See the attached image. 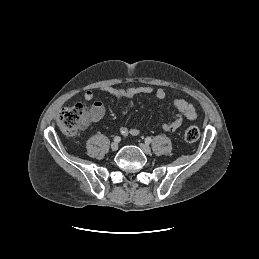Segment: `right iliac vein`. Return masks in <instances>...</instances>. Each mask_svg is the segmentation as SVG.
Listing matches in <instances>:
<instances>
[{"instance_id":"1","label":"right iliac vein","mask_w":259,"mask_h":259,"mask_svg":"<svg viewBox=\"0 0 259 259\" xmlns=\"http://www.w3.org/2000/svg\"><path fill=\"white\" fill-rule=\"evenodd\" d=\"M111 149H112V151L118 150V143L113 142V143L111 144Z\"/></svg>"}]
</instances>
